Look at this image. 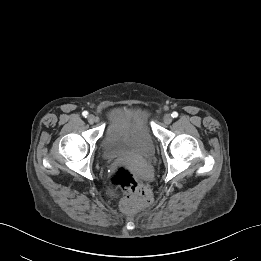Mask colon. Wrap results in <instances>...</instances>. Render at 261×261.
<instances>
[{
  "label": "colon",
  "mask_w": 261,
  "mask_h": 261,
  "mask_svg": "<svg viewBox=\"0 0 261 261\" xmlns=\"http://www.w3.org/2000/svg\"><path fill=\"white\" fill-rule=\"evenodd\" d=\"M111 182L119 188L124 197L121 208L124 211H135L149 205L152 199L150 189L125 166H119L111 176Z\"/></svg>",
  "instance_id": "obj_1"
}]
</instances>
